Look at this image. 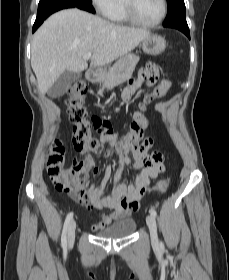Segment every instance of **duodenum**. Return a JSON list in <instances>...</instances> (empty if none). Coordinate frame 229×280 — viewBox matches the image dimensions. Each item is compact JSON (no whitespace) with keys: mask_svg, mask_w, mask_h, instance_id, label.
<instances>
[{"mask_svg":"<svg viewBox=\"0 0 229 280\" xmlns=\"http://www.w3.org/2000/svg\"><path fill=\"white\" fill-rule=\"evenodd\" d=\"M99 77V72L94 71V70H88L86 72V79L90 82H95L98 80Z\"/></svg>","mask_w":229,"mask_h":280,"instance_id":"1","label":"duodenum"}]
</instances>
